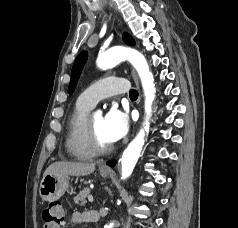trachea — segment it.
Masks as SVG:
<instances>
[{"instance_id":"obj_1","label":"trachea","mask_w":238,"mask_h":228,"mask_svg":"<svg viewBox=\"0 0 238 228\" xmlns=\"http://www.w3.org/2000/svg\"><path fill=\"white\" fill-rule=\"evenodd\" d=\"M130 99H137L138 98V92L135 89H131L129 93Z\"/></svg>"}]
</instances>
